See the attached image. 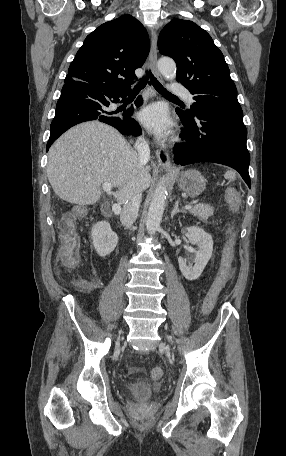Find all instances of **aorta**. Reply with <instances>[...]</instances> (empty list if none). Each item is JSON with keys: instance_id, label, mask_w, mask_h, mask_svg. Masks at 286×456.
Masks as SVG:
<instances>
[{"instance_id": "1", "label": "aorta", "mask_w": 286, "mask_h": 456, "mask_svg": "<svg viewBox=\"0 0 286 456\" xmlns=\"http://www.w3.org/2000/svg\"><path fill=\"white\" fill-rule=\"evenodd\" d=\"M157 65L165 79L173 80L176 77V64L173 59L161 58ZM166 196L167 188L165 181L161 179L155 188L146 217V229L150 235L154 234L160 227L165 209Z\"/></svg>"}]
</instances>
